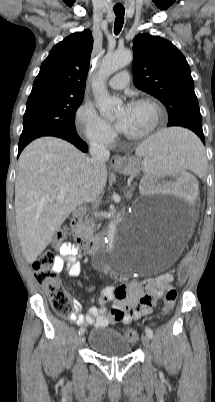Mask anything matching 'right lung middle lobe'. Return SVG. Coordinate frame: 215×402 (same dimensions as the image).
Listing matches in <instances>:
<instances>
[{"label": "right lung middle lobe", "mask_w": 215, "mask_h": 402, "mask_svg": "<svg viewBox=\"0 0 215 402\" xmlns=\"http://www.w3.org/2000/svg\"><path fill=\"white\" fill-rule=\"evenodd\" d=\"M83 96L41 93L29 96L19 145L41 136L76 133L75 113Z\"/></svg>", "instance_id": "dd1d6c3e"}]
</instances>
